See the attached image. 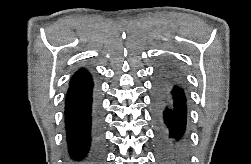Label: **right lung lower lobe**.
Listing matches in <instances>:
<instances>
[{
    "label": "right lung lower lobe",
    "mask_w": 251,
    "mask_h": 164,
    "mask_svg": "<svg viewBox=\"0 0 251 164\" xmlns=\"http://www.w3.org/2000/svg\"><path fill=\"white\" fill-rule=\"evenodd\" d=\"M92 94L90 73L78 70L69 82L65 99L66 138L73 161L99 163L102 159L101 121Z\"/></svg>",
    "instance_id": "1"
}]
</instances>
